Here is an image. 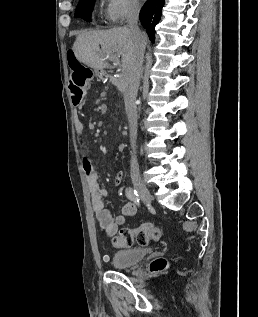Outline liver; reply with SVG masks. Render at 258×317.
I'll use <instances>...</instances> for the list:
<instances>
[{
  "instance_id": "6515ba94",
  "label": "liver",
  "mask_w": 258,
  "mask_h": 317,
  "mask_svg": "<svg viewBox=\"0 0 258 317\" xmlns=\"http://www.w3.org/2000/svg\"><path fill=\"white\" fill-rule=\"evenodd\" d=\"M146 36V32H143L144 42L147 40ZM73 50L77 60L84 62L91 68H98V70L113 68L109 62L104 60L107 52L109 54H122L123 72H126L134 52L132 36L126 26L82 32L76 36Z\"/></svg>"
}]
</instances>
